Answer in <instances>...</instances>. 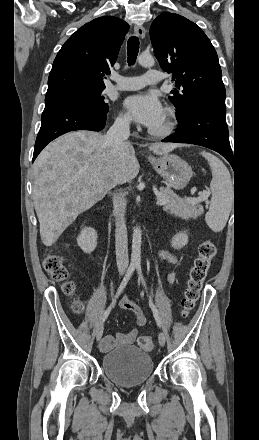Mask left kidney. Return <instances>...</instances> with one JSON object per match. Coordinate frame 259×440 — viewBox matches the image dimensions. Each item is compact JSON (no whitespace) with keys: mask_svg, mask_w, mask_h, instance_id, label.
<instances>
[{"mask_svg":"<svg viewBox=\"0 0 259 440\" xmlns=\"http://www.w3.org/2000/svg\"><path fill=\"white\" fill-rule=\"evenodd\" d=\"M188 243V234L186 231H181L179 233H176L172 237L171 245L175 249H181Z\"/></svg>","mask_w":259,"mask_h":440,"instance_id":"1","label":"left kidney"}]
</instances>
